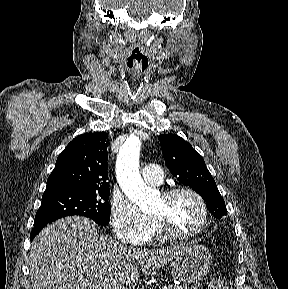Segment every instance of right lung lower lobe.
I'll return each mask as SVG.
<instances>
[{"label": "right lung lower lobe", "instance_id": "98d812e1", "mask_svg": "<svg viewBox=\"0 0 288 289\" xmlns=\"http://www.w3.org/2000/svg\"><path fill=\"white\" fill-rule=\"evenodd\" d=\"M47 224H39L34 225L33 230L31 231L30 239L33 240L34 237L41 231L43 227H45Z\"/></svg>", "mask_w": 288, "mask_h": 289}]
</instances>
